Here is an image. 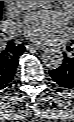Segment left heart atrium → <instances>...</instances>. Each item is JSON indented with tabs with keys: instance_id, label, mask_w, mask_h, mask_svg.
I'll use <instances>...</instances> for the list:
<instances>
[{
	"instance_id": "39dd6f15",
	"label": "left heart atrium",
	"mask_w": 74,
	"mask_h": 122,
	"mask_svg": "<svg viewBox=\"0 0 74 122\" xmlns=\"http://www.w3.org/2000/svg\"><path fill=\"white\" fill-rule=\"evenodd\" d=\"M66 23V17L58 11H38L27 15L20 27L33 40H48Z\"/></svg>"
}]
</instances>
